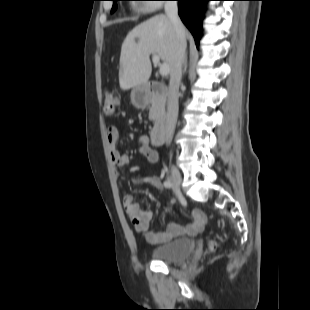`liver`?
Returning <instances> with one entry per match:
<instances>
[{
	"instance_id": "liver-1",
	"label": "liver",
	"mask_w": 310,
	"mask_h": 310,
	"mask_svg": "<svg viewBox=\"0 0 310 310\" xmlns=\"http://www.w3.org/2000/svg\"><path fill=\"white\" fill-rule=\"evenodd\" d=\"M175 47L176 34L167 15H156L136 26L122 44L120 88L126 91L148 82L152 72L151 54L158 55L169 66L171 73Z\"/></svg>"
}]
</instances>
